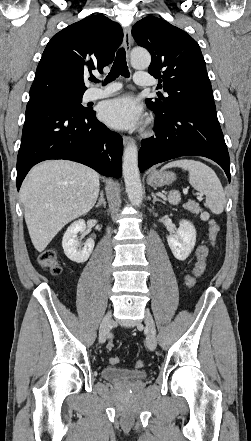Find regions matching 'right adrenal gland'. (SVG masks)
Here are the masks:
<instances>
[{
    "label": "right adrenal gland",
    "instance_id": "1",
    "mask_svg": "<svg viewBox=\"0 0 251 441\" xmlns=\"http://www.w3.org/2000/svg\"><path fill=\"white\" fill-rule=\"evenodd\" d=\"M102 205H103L104 208H106V201L104 199V192H103V190H101V192H100V198H99L97 204L95 205V207L98 208L99 206H102Z\"/></svg>",
    "mask_w": 251,
    "mask_h": 441
}]
</instances>
